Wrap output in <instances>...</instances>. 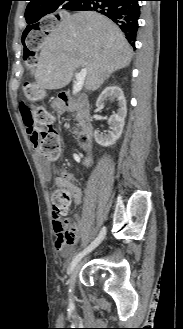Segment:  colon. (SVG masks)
Returning a JSON list of instances; mask_svg holds the SVG:
<instances>
[{"label":"colon","instance_id":"5ec220e1","mask_svg":"<svg viewBox=\"0 0 183 329\" xmlns=\"http://www.w3.org/2000/svg\"><path fill=\"white\" fill-rule=\"evenodd\" d=\"M66 14H45V19H36V25H26L25 31L19 32L20 44L23 49L24 63L28 68L37 64V53L43 49L45 38H49V32H53V26L57 21H66ZM28 93L33 96L36 93L34 85H28ZM22 114H29V128L32 141L38 146L40 154L47 166L57 162L60 155V139L53 127V117L43 107H22ZM82 142L86 141L81 137ZM59 176L52 186L53 215L60 220L64 230L68 233V239L72 242L75 238L73 224L66 218V215L73 201V194L70 186L60 180Z\"/></svg>","mask_w":183,"mask_h":329}]
</instances>
